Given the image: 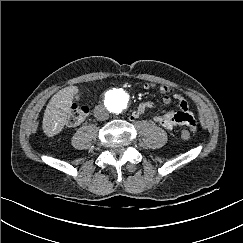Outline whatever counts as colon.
Masks as SVG:
<instances>
[{
    "mask_svg": "<svg viewBox=\"0 0 243 243\" xmlns=\"http://www.w3.org/2000/svg\"><path fill=\"white\" fill-rule=\"evenodd\" d=\"M89 109L86 106L73 105L68 115L67 124L69 126H77L81 124L88 116ZM181 137L185 140L191 137V132L184 127L181 131Z\"/></svg>",
    "mask_w": 243,
    "mask_h": 243,
    "instance_id": "5ec220e1",
    "label": "colon"
}]
</instances>
